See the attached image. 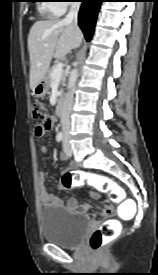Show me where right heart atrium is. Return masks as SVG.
<instances>
[{
    "mask_svg": "<svg viewBox=\"0 0 158 275\" xmlns=\"http://www.w3.org/2000/svg\"><path fill=\"white\" fill-rule=\"evenodd\" d=\"M76 0H56L53 2L54 8L56 10H59L60 14L64 13L67 9V7L70 5V2H75Z\"/></svg>",
    "mask_w": 158,
    "mask_h": 275,
    "instance_id": "d8ad5b80",
    "label": "right heart atrium"
}]
</instances>
